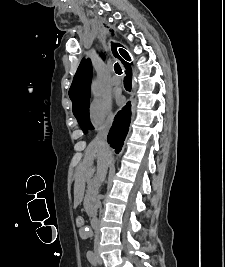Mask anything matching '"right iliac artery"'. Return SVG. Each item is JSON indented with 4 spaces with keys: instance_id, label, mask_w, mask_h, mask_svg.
Listing matches in <instances>:
<instances>
[{
    "instance_id": "82829eb1",
    "label": "right iliac artery",
    "mask_w": 225,
    "mask_h": 267,
    "mask_svg": "<svg viewBox=\"0 0 225 267\" xmlns=\"http://www.w3.org/2000/svg\"><path fill=\"white\" fill-rule=\"evenodd\" d=\"M87 259L92 265L97 266V259H96L95 254L92 251L87 252Z\"/></svg>"
}]
</instances>
